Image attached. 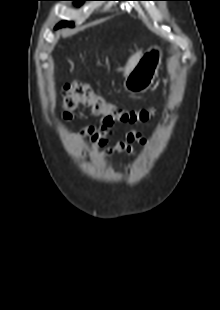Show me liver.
Returning <instances> with one entry per match:
<instances>
[{
  "instance_id": "liver-1",
  "label": "liver",
  "mask_w": 220,
  "mask_h": 310,
  "mask_svg": "<svg viewBox=\"0 0 220 310\" xmlns=\"http://www.w3.org/2000/svg\"><path fill=\"white\" fill-rule=\"evenodd\" d=\"M141 55H142V51L139 50V51H137L135 54H133V55L129 58V60H128V62H127V64H126L125 68H124V76H125V77H127L128 74L131 72V70L135 67V65H136L137 62L139 61Z\"/></svg>"
}]
</instances>
